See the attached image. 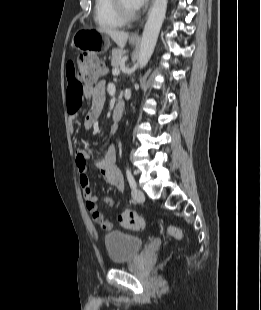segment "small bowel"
<instances>
[{
	"label": "small bowel",
	"instance_id": "1",
	"mask_svg": "<svg viewBox=\"0 0 261 310\" xmlns=\"http://www.w3.org/2000/svg\"><path fill=\"white\" fill-rule=\"evenodd\" d=\"M68 89L67 101L68 110L71 114L70 120L73 123L77 118V111L81 105V98L87 97L91 99V105L83 120L86 128L92 129L97 125L99 116L104 103V83L100 82L95 85L86 84L80 85L75 77L73 66L69 64L67 69ZM116 128H113L115 131ZM91 159V154L85 149H79L75 153V163L79 174V182L82 188L83 196L85 198L87 210L92 215L93 219L99 223L104 229H111L113 221L106 219L99 211L97 206L98 197L93 193L89 176L87 162ZM94 166L101 172L105 181L118 192L124 189V179L121 171L116 166V151L113 143L108 142L101 155L94 161ZM102 199L112 205L113 199L108 195H103Z\"/></svg>",
	"mask_w": 261,
	"mask_h": 310
}]
</instances>
